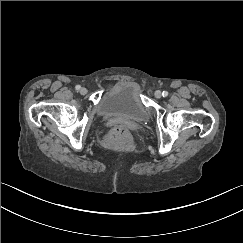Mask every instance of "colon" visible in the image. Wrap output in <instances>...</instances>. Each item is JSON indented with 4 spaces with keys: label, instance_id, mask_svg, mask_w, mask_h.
<instances>
[{
    "label": "colon",
    "instance_id": "colon-1",
    "mask_svg": "<svg viewBox=\"0 0 243 243\" xmlns=\"http://www.w3.org/2000/svg\"><path fill=\"white\" fill-rule=\"evenodd\" d=\"M127 137V132L124 129H119L114 139H124Z\"/></svg>",
    "mask_w": 243,
    "mask_h": 243
}]
</instances>
